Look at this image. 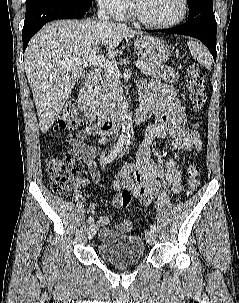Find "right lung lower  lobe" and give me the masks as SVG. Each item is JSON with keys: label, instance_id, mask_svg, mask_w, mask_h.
<instances>
[{"label": "right lung lower lobe", "instance_id": "98d812e1", "mask_svg": "<svg viewBox=\"0 0 239 303\" xmlns=\"http://www.w3.org/2000/svg\"><path fill=\"white\" fill-rule=\"evenodd\" d=\"M91 0H40L26 5L22 30L23 51L31 37L47 22L57 19L83 17L91 7Z\"/></svg>", "mask_w": 239, "mask_h": 303}]
</instances>
